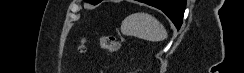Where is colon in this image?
Listing matches in <instances>:
<instances>
[{
	"label": "colon",
	"instance_id": "obj_1",
	"mask_svg": "<svg viewBox=\"0 0 244 73\" xmlns=\"http://www.w3.org/2000/svg\"><path fill=\"white\" fill-rule=\"evenodd\" d=\"M100 48L107 53H114L119 49L120 43L119 40L111 35H102L99 38ZM79 49L84 50V42L82 41Z\"/></svg>",
	"mask_w": 244,
	"mask_h": 73
}]
</instances>
